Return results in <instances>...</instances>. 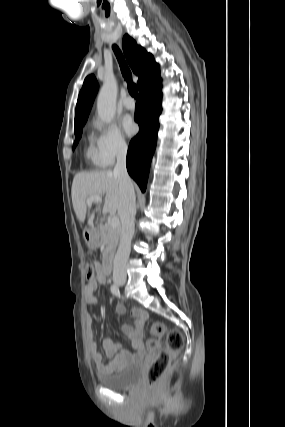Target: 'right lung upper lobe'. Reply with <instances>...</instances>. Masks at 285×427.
<instances>
[{"mask_svg": "<svg viewBox=\"0 0 285 427\" xmlns=\"http://www.w3.org/2000/svg\"><path fill=\"white\" fill-rule=\"evenodd\" d=\"M123 51L134 74L139 76L138 88L153 76L159 73V65L155 63L153 56L127 34L123 37ZM98 90V84L94 75L86 77L79 93L76 113L75 129L83 126L87 120L92 103Z\"/></svg>", "mask_w": 285, "mask_h": 427, "instance_id": "cb5924a9", "label": "right lung upper lobe"}]
</instances>
